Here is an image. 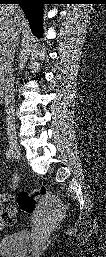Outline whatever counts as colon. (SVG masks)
Returning a JSON list of instances; mask_svg holds the SVG:
<instances>
[{"label":"colon","mask_w":106,"mask_h":257,"mask_svg":"<svg viewBox=\"0 0 106 257\" xmlns=\"http://www.w3.org/2000/svg\"><path fill=\"white\" fill-rule=\"evenodd\" d=\"M55 197L47 187H40L32 191H21L16 198L19 209L27 214H34L39 206L46 207Z\"/></svg>","instance_id":"5ec220e1"}]
</instances>
